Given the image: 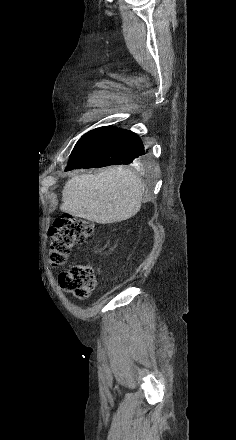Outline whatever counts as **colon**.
I'll return each instance as SVG.
<instances>
[{
    "instance_id": "5ec220e1",
    "label": "colon",
    "mask_w": 236,
    "mask_h": 440,
    "mask_svg": "<svg viewBox=\"0 0 236 440\" xmlns=\"http://www.w3.org/2000/svg\"><path fill=\"white\" fill-rule=\"evenodd\" d=\"M94 225L82 218L64 215L57 218L50 229V263L64 265L76 245L83 244L93 234ZM63 290L79 299L89 297L96 285L92 267L88 264L73 263L59 275Z\"/></svg>"
}]
</instances>
